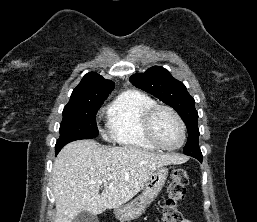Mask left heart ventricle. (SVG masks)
Returning <instances> with one entry per match:
<instances>
[{"label":"left heart ventricle","instance_id":"b2bd125f","mask_svg":"<svg viewBox=\"0 0 257 222\" xmlns=\"http://www.w3.org/2000/svg\"><path fill=\"white\" fill-rule=\"evenodd\" d=\"M157 139L165 146L174 147L181 141V130L176 119L167 111H160L153 122Z\"/></svg>","mask_w":257,"mask_h":222}]
</instances>
